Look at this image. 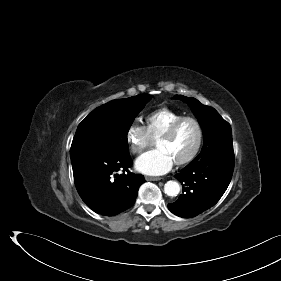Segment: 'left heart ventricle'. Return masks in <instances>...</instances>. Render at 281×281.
Here are the masks:
<instances>
[{
	"label": "left heart ventricle",
	"instance_id": "left-heart-ventricle-1",
	"mask_svg": "<svg viewBox=\"0 0 281 281\" xmlns=\"http://www.w3.org/2000/svg\"><path fill=\"white\" fill-rule=\"evenodd\" d=\"M198 138L196 125L192 121L183 122L174 136L157 142V148L166 151L174 160H181L194 149Z\"/></svg>",
	"mask_w": 281,
	"mask_h": 281
}]
</instances>
